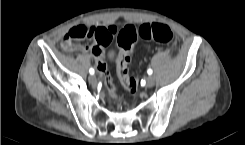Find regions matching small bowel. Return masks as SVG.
Segmentation results:
<instances>
[{
	"label": "small bowel",
	"instance_id": "small-bowel-1",
	"mask_svg": "<svg viewBox=\"0 0 245 145\" xmlns=\"http://www.w3.org/2000/svg\"><path fill=\"white\" fill-rule=\"evenodd\" d=\"M92 27L95 31H97V37L92 40V44L88 47H85V50L89 52V54L95 58L97 62V66L105 64V51L104 47L109 43L112 38L111 33L109 32L110 27H116L113 24L107 25H87ZM99 31H104V33L98 34ZM73 45L71 42L68 44H62V48L68 52H74L72 49ZM106 65V64H105Z\"/></svg>",
	"mask_w": 245,
	"mask_h": 145
}]
</instances>
